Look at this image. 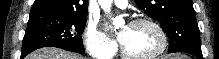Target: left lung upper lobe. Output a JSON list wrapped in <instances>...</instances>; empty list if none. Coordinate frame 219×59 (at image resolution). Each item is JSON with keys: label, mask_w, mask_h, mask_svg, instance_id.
<instances>
[{"label": "left lung upper lobe", "mask_w": 219, "mask_h": 59, "mask_svg": "<svg viewBox=\"0 0 219 59\" xmlns=\"http://www.w3.org/2000/svg\"><path fill=\"white\" fill-rule=\"evenodd\" d=\"M149 17L159 20L169 38V51L200 45V31L191 0H134Z\"/></svg>", "instance_id": "left-lung-upper-lobe-1"}]
</instances>
